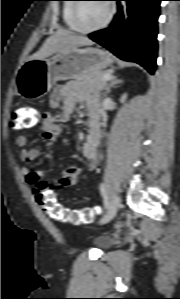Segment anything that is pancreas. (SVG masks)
<instances>
[{"label":"pancreas","mask_w":180,"mask_h":299,"mask_svg":"<svg viewBox=\"0 0 180 299\" xmlns=\"http://www.w3.org/2000/svg\"><path fill=\"white\" fill-rule=\"evenodd\" d=\"M110 74L108 71L90 72L79 78L80 82L90 90L102 91L107 87V81H103V77Z\"/></svg>","instance_id":"obj_1"}]
</instances>
